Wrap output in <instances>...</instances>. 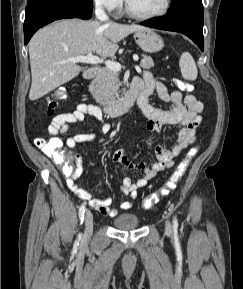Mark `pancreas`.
Returning a JSON list of instances; mask_svg holds the SVG:
<instances>
[{
  "mask_svg": "<svg viewBox=\"0 0 243 289\" xmlns=\"http://www.w3.org/2000/svg\"><path fill=\"white\" fill-rule=\"evenodd\" d=\"M140 66L144 69H150L154 67V62L151 57L143 55ZM118 77V72L108 67H103L89 86V91L93 98L97 102L104 104L117 97L119 90Z\"/></svg>",
  "mask_w": 243,
  "mask_h": 289,
  "instance_id": "pancreas-1",
  "label": "pancreas"
}]
</instances>
